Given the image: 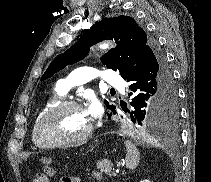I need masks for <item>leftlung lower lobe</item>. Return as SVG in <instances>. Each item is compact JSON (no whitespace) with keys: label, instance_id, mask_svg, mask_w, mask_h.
Instances as JSON below:
<instances>
[{"label":"left lung lower lobe","instance_id":"left-lung-lower-lobe-1","mask_svg":"<svg viewBox=\"0 0 211 182\" xmlns=\"http://www.w3.org/2000/svg\"><path fill=\"white\" fill-rule=\"evenodd\" d=\"M130 83V104L134 111L130 113L133 123L142 125L147 101H152L163 124L178 119V96L172 72L166 57L153 39L143 51L135 68L124 78ZM134 114V116L132 115Z\"/></svg>","mask_w":211,"mask_h":182}]
</instances>
